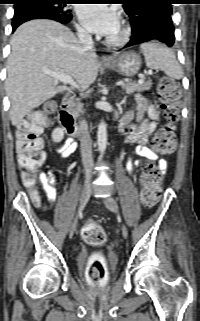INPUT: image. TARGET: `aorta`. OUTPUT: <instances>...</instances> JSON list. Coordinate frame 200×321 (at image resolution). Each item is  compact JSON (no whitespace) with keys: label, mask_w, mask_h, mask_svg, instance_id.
I'll return each mask as SVG.
<instances>
[{"label":"aorta","mask_w":200,"mask_h":321,"mask_svg":"<svg viewBox=\"0 0 200 321\" xmlns=\"http://www.w3.org/2000/svg\"><path fill=\"white\" fill-rule=\"evenodd\" d=\"M97 143L100 154L103 155L107 146V128L104 122H101L98 126Z\"/></svg>","instance_id":"762f6f07"}]
</instances>
